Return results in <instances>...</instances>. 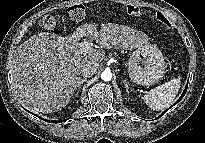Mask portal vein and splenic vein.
<instances>
[{
	"label": "portal vein and splenic vein",
	"instance_id": "18ae733b",
	"mask_svg": "<svg viewBox=\"0 0 205 143\" xmlns=\"http://www.w3.org/2000/svg\"><path fill=\"white\" fill-rule=\"evenodd\" d=\"M80 46L83 48V49H91L92 47H93V44L92 43H90V42H82L81 44H80Z\"/></svg>",
	"mask_w": 205,
	"mask_h": 143
}]
</instances>
